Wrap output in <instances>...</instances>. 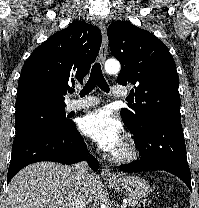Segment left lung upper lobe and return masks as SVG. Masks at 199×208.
I'll list each match as a JSON object with an SVG mask.
<instances>
[{"mask_svg": "<svg viewBox=\"0 0 199 208\" xmlns=\"http://www.w3.org/2000/svg\"><path fill=\"white\" fill-rule=\"evenodd\" d=\"M111 53L122 65L118 83H131L133 105L121 110L127 128L139 137L146 124L180 114L179 77L166 45L150 32L125 21L107 29Z\"/></svg>", "mask_w": 199, "mask_h": 208, "instance_id": "obj_1", "label": "left lung upper lobe"}]
</instances>
